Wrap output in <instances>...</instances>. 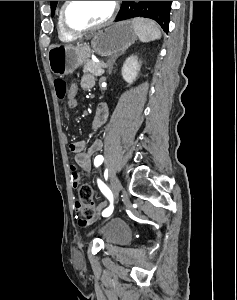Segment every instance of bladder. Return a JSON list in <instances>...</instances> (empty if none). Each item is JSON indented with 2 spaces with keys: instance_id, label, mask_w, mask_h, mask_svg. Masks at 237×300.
Returning a JSON list of instances; mask_svg holds the SVG:
<instances>
[{
  "instance_id": "31cf9c89",
  "label": "bladder",
  "mask_w": 237,
  "mask_h": 300,
  "mask_svg": "<svg viewBox=\"0 0 237 300\" xmlns=\"http://www.w3.org/2000/svg\"><path fill=\"white\" fill-rule=\"evenodd\" d=\"M98 234L107 244L125 243L130 236L128 226L121 220H111L99 225Z\"/></svg>"
}]
</instances>
